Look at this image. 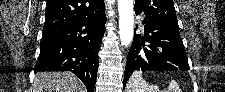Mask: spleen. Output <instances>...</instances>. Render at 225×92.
I'll return each instance as SVG.
<instances>
[{"label": "spleen", "mask_w": 225, "mask_h": 92, "mask_svg": "<svg viewBox=\"0 0 225 92\" xmlns=\"http://www.w3.org/2000/svg\"><path fill=\"white\" fill-rule=\"evenodd\" d=\"M126 87L127 92H181L178 84L174 80L169 81L167 90L160 91L157 85H150L143 79L141 71H135L131 75Z\"/></svg>", "instance_id": "3e777b00"}]
</instances>
